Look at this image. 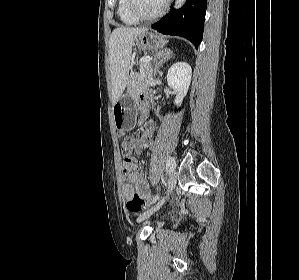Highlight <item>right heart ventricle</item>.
I'll list each match as a JSON object with an SVG mask.
<instances>
[{"instance_id": "right-heart-ventricle-1", "label": "right heart ventricle", "mask_w": 299, "mask_h": 280, "mask_svg": "<svg viewBox=\"0 0 299 280\" xmlns=\"http://www.w3.org/2000/svg\"><path fill=\"white\" fill-rule=\"evenodd\" d=\"M117 14L125 25H136L139 23L128 10V0H118Z\"/></svg>"}]
</instances>
